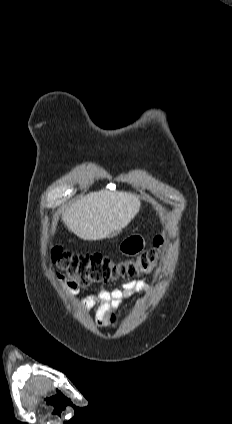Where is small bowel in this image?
<instances>
[{
	"label": "small bowel",
	"mask_w": 232,
	"mask_h": 424,
	"mask_svg": "<svg viewBox=\"0 0 232 424\" xmlns=\"http://www.w3.org/2000/svg\"><path fill=\"white\" fill-rule=\"evenodd\" d=\"M149 291L148 285L142 280H131L120 287H101L95 294H90L82 299V308L89 310L96 309L95 319L98 325H112L114 323V309L122 305L125 299L137 294H146ZM68 294H75V289H68ZM144 303L143 298L137 300V304Z\"/></svg>",
	"instance_id": "obj_1"
}]
</instances>
